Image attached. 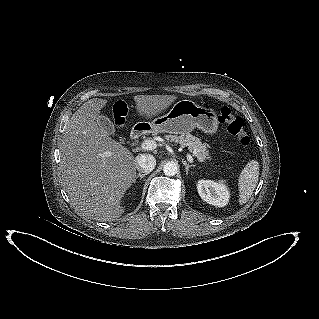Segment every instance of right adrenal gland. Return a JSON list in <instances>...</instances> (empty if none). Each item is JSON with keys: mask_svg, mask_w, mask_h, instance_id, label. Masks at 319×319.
Wrapping results in <instances>:
<instances>
[{"mask_svg": "<svg viewBox=\"0 0 319 319\" xmlns=\"http://www.w3.org/2000/svg\"><path fill=\"white\" fill-rule=\"evenodd\" d=\"M147 174H141V173H139L137 176H136V178H135V180H134V183H136V180L138 179V178H140V180H142L145 176H146Z\"/></svg>", "mask_w": 319, "mask_h": 319, "instance_id": "right-adrenal-gland-1", "label": "right adrenal gland"}]
</instances>
